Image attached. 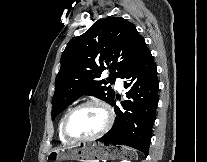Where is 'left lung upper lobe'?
I'll use <instances>...</instances> for the list:
<instances>
[{
	"label": "left lung upper lobe",
	"instance_id": "1",
	"mask_svg": "<svg viewBox=\"0 0 207 162\" xmlns=\"http://www.w3.org/2000/svg\"><path fill=\"white\" fill-rule=\"evenodd\" d=\"M146 51L145 40L134 24L122 17L98 20L87 32L72 38L62 54L55 80L52 118L84 94L112 104L114 91L104 86L108 84L106 80L98 79L100 74L110 69L107 80L114 83L115 78H122Z\"/></svg>",
	"mask_w": 207,
	"mask_h": 162
}]
</instances>
